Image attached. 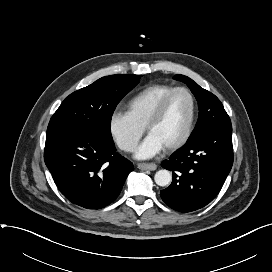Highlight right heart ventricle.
Segmentation results:
<instances>
[{"mask_svg": "<svg viewBox=\"0 0 272 272\" xmlns=\"http://www.w3.org/2000/svg\"><path fill=\"white\" fill-rule=\"evenodd\" d=\"M174 88L176 87L168 84L145 87L127 102V113L138 125L145 127L158 103Z\"/></svg>", "mask_w": 272, "mask_h": 272, "instance_id": "obj_1", "label": "right heart ventricle"}]
</instances>
